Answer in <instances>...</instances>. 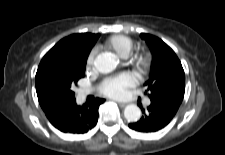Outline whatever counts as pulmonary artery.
I'll list each match as a JSON object with an SVG mask.
<instances>
[{"instance_id":"e3ab8cb5","label":"pulmonary artery","mask_w":225,"mask_h":155,"mask_svg":"<svg viewBox=\"0 0 225 155\" xmlns=\"http://www.w3.org/2000/svg\"><path fill=\"white\" fill-rule=\"evenodd\" d=\"M89 93H90V90L82 89V90L79 91V96L80 97H85ZM144 103H145V105H149L151 103V101H150L149 98H147V99H145Z\"/></svg>"}]
</instances>
